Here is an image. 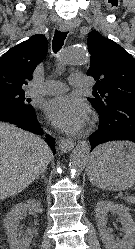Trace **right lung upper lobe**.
Returning a JSON list of instances; mask_svg holds the SVG:
<instances>
[{"label": "right lung upper lobe", "instance_id": "1", "mask_svg": "<svg viewBox=\"0 0 135 249\" xmlns=\"http://www.w3.org/2000/svg\"><path fill=\"white\" fill-rule=\"evenodd\" d=\"M48 42L44 35H33L9 49L0 58V91H24L27 80L46 56Z\"/></svg>", "mask_w": 135, "mask_h": 249}]
</instances>
